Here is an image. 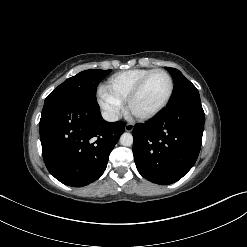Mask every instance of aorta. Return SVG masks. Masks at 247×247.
I'll list each match as a JSON object with an SVG mask.
<instances>
[{"instance_id": "obj_1", "label": "aorta", "mask_w": 247, "mask_h": 247, "mask_svg": "<svg viewBox=\"0 0 247 247\" xmlns=\"http://www.w3.org/2000/svg\"><path fill=\"white\" fill-rule=\"evenodd\" d=\"M120 143L123 146H131L133 144V136L130 133H123L120 137Z\"/></svg>"}]
</instances>
